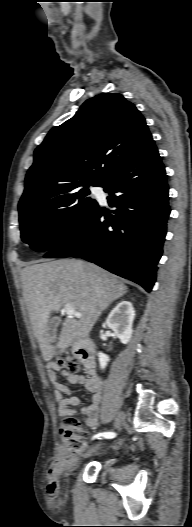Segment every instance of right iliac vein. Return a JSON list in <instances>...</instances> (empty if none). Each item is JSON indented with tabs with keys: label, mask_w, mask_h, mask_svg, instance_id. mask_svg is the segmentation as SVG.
Returning <instances> with one entry per match:
<instances>
[{
	"label": "right iliac vein",
	"mask_w": 192,
	"mask_h": 527,
	"mask_svg": "<svg viewBox=\"0 0 192 527\" xmlns=\"http://www.w3.org/2000/svg\"><path fill=\"white\" fill-rule=\"evenodd\" d=\"M124 420V415L122 412H119L116 419H115V429L119 430L121 428V425H122V422ZM98 448V445L93 447L92 449H90V451L88 452V455H90L92 452L95 451V449Z\"/></svg>",
	"instance_id": "1"
}]
</instances>
